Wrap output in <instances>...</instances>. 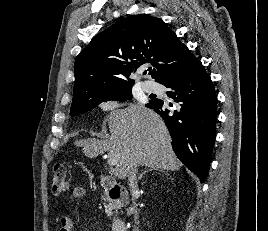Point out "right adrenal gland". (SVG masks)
I'll use <instances>...</instances> for the list:
<instances>
[{
	"label": "right adrenal gland",
	"instance_id": "right-adrenal-gland-1",
	"mask_svg": "<svg viewBox=\"0 0 268 231\" xmlns=\"http://www.w3.org/2000/svg\"><path fill=\"white\" fill-rule=\"evenodd\" d=\"M152 170L160 171V172H162V173H164V174H167V172H165V170H163V169L149 168V169H147V170H144V171L140 174V176L138 177V180H141V179L143 178V176H144L147 172L152 171Z\"/></svg>",
	"mask_w": 268,
	"mask_h": 231
}]
</instances>
